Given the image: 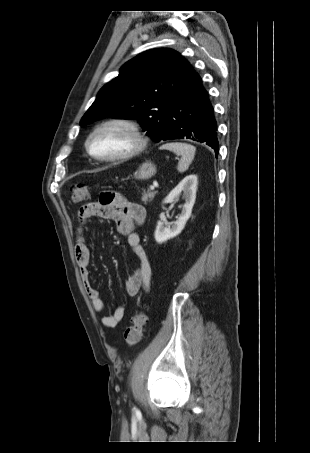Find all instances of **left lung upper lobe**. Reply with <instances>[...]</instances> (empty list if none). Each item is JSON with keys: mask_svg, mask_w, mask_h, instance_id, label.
Here are the masks:
<instances>
[{"mask_svg": "<svg viewBox=\"0 0 310 453\" xmlns=\"http://www.w3.org/2000/svg\"><path fill=\"white\" fill-rule=\"evenodd\" d=\"M190 68V63L172 49L139 54L99 91L80 125L105 117L139 119L147 135L160 141L167 116L179 99Z\"/></svg>", "mask_w": 310, "mask_h": 453, "instance_id": "1", "label": "left lung upper lobe"}]
</instances>
